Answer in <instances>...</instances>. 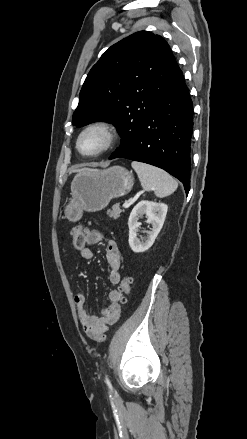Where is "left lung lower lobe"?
I'll list each match as a JSON object with an SVG mask.
<instances>
[{
    "label": "left lung lower lobe",
    "mask_w": 247,
    "mask_h": 439,
    "mask_svg": "<svg viewBox=\"0 0 247 439\" xmlns=\"http://www.w3.org/2000/svg\"><path fill=\"white\" fill-rule=\"evenodd\" d=\"M192 129V101L182 76L158 98L129 144L119 147L110 159L126 158L162 168L179 179L188 194Z\"/></svg>",
    "instance_id": "left-lung-lower-lobe-1"
}]
</instances>
